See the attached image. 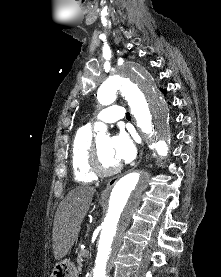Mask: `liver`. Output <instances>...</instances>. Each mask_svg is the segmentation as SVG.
<instances>
[{
	"instance_id": "1",
	"label": "liver",
	"mask_w": 221,
	"mask_h": 277,
	"mask_svg": "<svg viewBox=\"0 0 221 277\" xmlns=\"http://www.w3.org/2000/svg\"><path fill=\"white\" fill-rule=\"evenodd\" d=\"M95 192V188L91 186H79L71 190L59 204L52 234L55 259H62L72 248Z\"/></svg>"
}]
</instances>
